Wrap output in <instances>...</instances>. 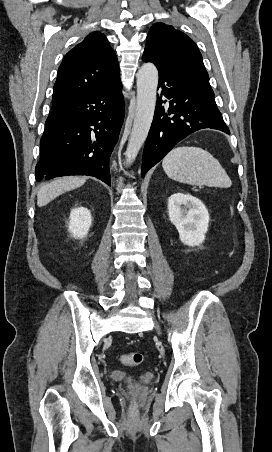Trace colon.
Returning a JSON list of instances; mask_svg holds the SVG:
<instances>
[{
	"mask_svg": "<svg viewBox=\"0 0 272 452\" xmlns=\"http://www.w3.org/2000/svg\"><path fill=\"white\" fill-rule=\"evenodd\" d=\"M143 361V355L139 352H130L121 356V362L127 366H137Z\"/></svg>",
	"mask_w": 272,
	"mask_h": 452,
	"instance_id": "1",
	"label": "colon"
}]
</instances>
